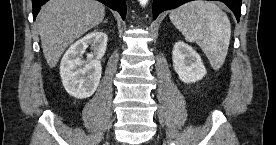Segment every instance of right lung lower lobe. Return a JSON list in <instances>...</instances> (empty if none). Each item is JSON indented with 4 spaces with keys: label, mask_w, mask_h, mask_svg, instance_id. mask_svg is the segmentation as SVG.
<instances>
[{
    "label": "right lung lower lobe",
    "mask_w": 276,
    "mask_h": 145,
    "mask_svg": "<svg viewBox=\"0 0 276 145\" xmlns=\"http://www.w3.org/2000/svg\"><path fill=\"white\" fill-rule=\"evenodd\" d=\"M48 0H32L33 5V19L36 18L41 6ZM107 5L113 10L120 13L121 17L125 19L126 16V0H98Z\"/></svg>",
    "instance_id": "1"
}]
</instances>
